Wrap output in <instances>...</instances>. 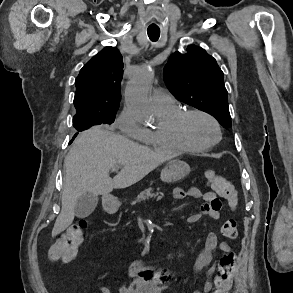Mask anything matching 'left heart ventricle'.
Wrapping results in <instances>:
<instances>
[{"label": "left heart ventricle", "mask_w": 293, "mask_h": 293, "mask_svg": "<svg viewBox=\"0 0 293 293\" xmlns=\"http://www.w3.org/2000/svg\"><path fill=\"white\" fill-rule=\"evenodd\" d=\"M185 135L187 139L196 145H204L215 140L217 132L214 125L205 117L191 115L185 122Z\"/></svg>", "instance_id": "obj_1"}]
</instances>
